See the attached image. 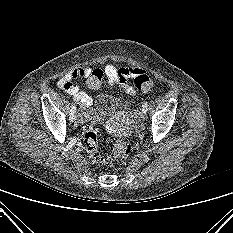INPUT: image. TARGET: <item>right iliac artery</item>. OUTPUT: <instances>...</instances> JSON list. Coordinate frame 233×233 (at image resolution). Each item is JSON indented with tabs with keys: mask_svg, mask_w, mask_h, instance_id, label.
<instances>
[{
	"mask_svg": "<svg viewBox=\"0 0 233 233\" xmlns=\"http://www.w3.org/2000/svg\"><path fill=\"white\" fill-rule=\"evenodd\" d=\"M75 113H76V107L74 105H72L71 110H70L71 121H73V119L75 118Z\"/></svg>",
	"mask_w": 233,
	"mask_h": 233,
	"instance_id": "obj_1",
	"label": "right iliac artery"
}]
</instances>
